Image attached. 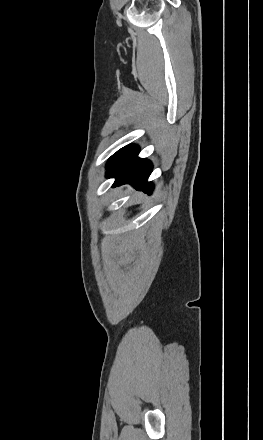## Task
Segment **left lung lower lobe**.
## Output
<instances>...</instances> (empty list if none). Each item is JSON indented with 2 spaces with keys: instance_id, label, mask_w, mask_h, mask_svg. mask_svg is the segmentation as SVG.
<instances>
[{
  "instance_id": "0a47b994",
  "label": "left lung lower lobe",
  "mask_w": 263,
  "mask_h": 440,
  "mask_svg": "<svg viewBox=\"0 0 263 440\" xmlns=\"http://www.w3.org/2000/svg\"><path fill=\"white\" fill-rule=\"evenodd\" d=\"M139 147L131 144L117 151L107 163L106 176L116 180L113 187L131 184L133 187L150 194L153 190L151 182H147L152 172L149 160L138 158Z\"/></svg>"
}]
</instances>
